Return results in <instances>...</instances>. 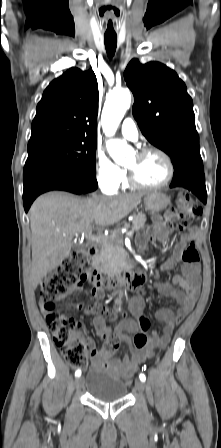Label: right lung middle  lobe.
Returning <instances> with one entry per match:
<instances>
[{"instance_id": "1", "label": "right lung middle lobe", "mask_w": 221, "mask_h": 448, "mask_svg": "<svg viewBox=\"0 0 221 448\" xmlns=\"http://www.w3.org/2000/svg\"><path fill=\"white\" fill-rule=\"evenodd\" d=\"M97 138L53 141L28 148L25 165L50 163L95 177Z\"/></svg>"}]
</instances>
